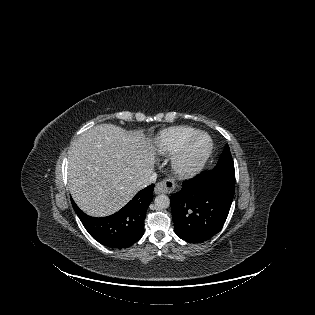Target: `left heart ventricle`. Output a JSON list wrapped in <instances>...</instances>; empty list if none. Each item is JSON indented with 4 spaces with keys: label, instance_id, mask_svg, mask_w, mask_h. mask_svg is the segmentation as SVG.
I'll use <instances>...</instances> for the list:
<instances>
[{
    "label": "left heart ventricle",
    "instance_id": "1",
    "mask_svg": "<svg viewBox=\"0 0 315 315\" xmlns=\"http://www.w3.org/2000/svg\"><path fill=\"white\" fill-rule=\"evenodd\" d=\"M206 145V139L201 137L199 138L196 142H195V145H194V150L195 152H199L201 151Z\"/></svg>",
    "mask_w": 315,
    "mask_h": 315
}]
</instances>
